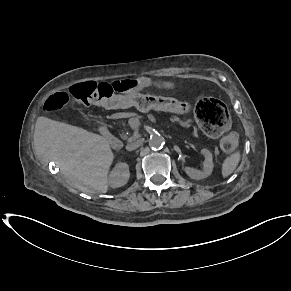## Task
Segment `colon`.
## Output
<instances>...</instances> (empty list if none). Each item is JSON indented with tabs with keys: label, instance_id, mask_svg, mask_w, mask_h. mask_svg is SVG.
<instances>
[{
	"label": "colon",
	"instance_id": "5ec220e1",
	"mask_svg": "<svg viewBox=\"0 0 291 291\" xmlns=\"http://www.w3.org/2000/svg\"><path fill=\"white\" fill-rule=\"evenodd\" d=\"M131 84L126 80L115 82H83L75 84L68 91L51 95L44 103L46 112L61 110L71 101L81 106L101 105L116 109L120 106L137 107L141 112H171L176 118H186L190 110L201 129L210 136L222 135L221 148L232 152L238 144L236 133L224 132L229 128L230 116L225 105L216 98L204 97L186 101L184 97H172L171 93L131 94Z\"/></svg>",
	"mask_w": 291,
	"mask_h": 291
}]
</instances>
